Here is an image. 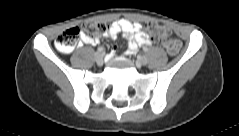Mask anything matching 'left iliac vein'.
<instances>
[{
    "label": "left iliac vein",
    "instance_id": "left-iliac-vein-1",
    "mask_svg": "<svg viewBox=\"0 0 239 136\" xmlns=\"http://www.w3.org/2000/svg\"><path fill=\"white\" fill-rule=\"evenodd\" d=\"M148 62L147 58L145 56H138L136 63L137 65H146Z\"/></svg>",
    "mask_w": 239,
    "mask_h": 136
}]
</instances>
